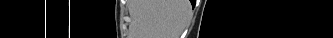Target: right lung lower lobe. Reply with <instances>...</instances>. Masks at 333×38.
<instances>
[{
    "label": "right lung lower lobe",
    "mask_w": 333,
    "mask_h": 38,
    "mask_svg": "<svg viewBox=\"0 0 333 38\" xmlns=\"http://www.w3.org/2000/svg\"><path fill=\"white\" fill-rule=\"evenodd\" d=\"M191 1V3H192V6H194V4H195V1H192V0H190Z\"/></svg>",
    "instance_id": "1"
}]
</instances>
